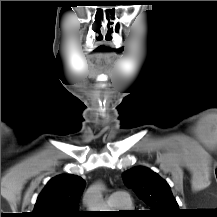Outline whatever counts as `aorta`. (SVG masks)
Returning a JSON list of instances; mask_svg holds the SVG:
<instances>
[{
	"label": "aorta",
	"mask_w": 217,
	"mask_h": 217,
	"mask_svg": "<svg viewBox=\"0 0 217 217\" xmlns=\"http://www.w3.org/2000/svg\"><path fill=\"white\" fill-rule=\"evenodd\" d=\"M103 186L100 183L93 184L89 187L84 195L83 201L89 211H108L102 196Z\"/></svg>",
	"instance_id": "obj_1"
}]
</instances>
